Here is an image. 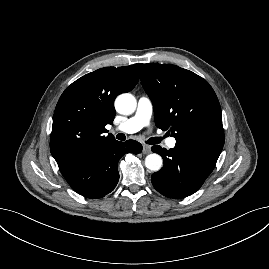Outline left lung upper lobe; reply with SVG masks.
<instances>
[{"instance_id": "obj_1", "label": "left lung upper lobe", "mask_w": 269, "mask_h": 269, "mask_svg": "<svg viewBox=\"0 0 269 269\" xmlns=\"http://www.w3.org/2000/svg\"><path fill=\"white\" fill-rule=\"evenodd\" d=\"M140 78L158 128L169 130L176 142L224 145L220 104L206 80L169 64H144Z\"/></svg>"}]
</instances>
